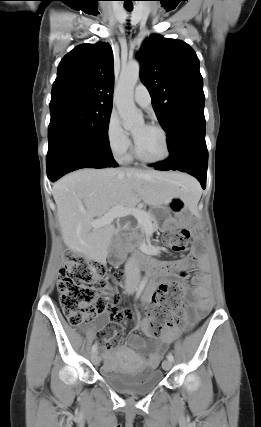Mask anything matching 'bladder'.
<instances>
[{
    "mask_svg": "<svg viewBox=\"0 0 261 427\" xmlns=\"http://www.w3.org/2000/svg\"><path fill=\"white\" fill-rule=\"evenodd\" d=\"M101 377L110 386L126 394H143L155 389L162 381L159 369L137 371L121 363L115 357H109L101 368Z\"/></svg>",
    "mask_w": 261,
    "mask_h": 427,
    "instance_id": "bladder-1",
    "label": "bladder"
}]
</instances>
